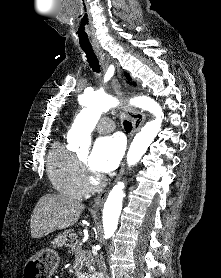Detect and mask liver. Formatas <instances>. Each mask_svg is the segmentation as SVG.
Listing matches in <instances>:
<instances>
[{"label":"liver","mask_w":221,"mask_h":278,"mask_svg":"<svg viewBox=\"0 0 221 278\" xmlns=\"http://www.w3.org/2000/svg\"><path fill=\"white\" fill-rule=\"evenodd\" d=\"M84 209V204L70 197L60 194L43 195L31 215V237L41 238L73 226Z\"/></svg>","instance_id":"6515ba94"}]
</instances>
